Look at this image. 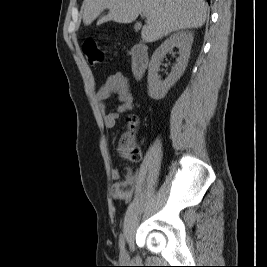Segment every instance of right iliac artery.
Instances as JSON below:
<instances>
[{
	"mask_svg": "<svg viewBox=\"0 0 267 267\" xmlns=\"http://www.w3.org/2000/svg\"><path fill=\"white\" fill-rule=\"evenodd\" d=\"M125 241H124V235L121 236L120 241H119V247L121 250L124 249Z\"/></svg>",
	"mask_w": 267,
	"mask_h": 267,
	"instance_id": "right-iliac-artery-1",
	"label": "right iliac artery"
}]
</instances>
